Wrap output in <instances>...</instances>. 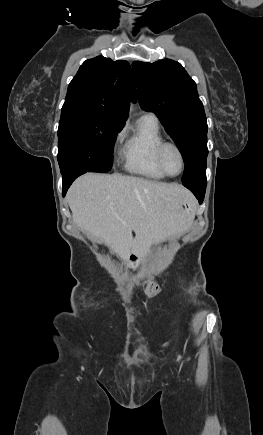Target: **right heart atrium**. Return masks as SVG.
Listing matches in <instances>:
<instances>
[{
    "instance_id": "right-heart-atrium-1",
    "label": "right heart atrium",
    "mask_w": 263,
    "mask_h": 435,
    "mask_svg": "<svg viewBox=\"0 0 263 435\" xmlns=\"http://www.w3.org/2000/svg\"><path fill=\"white\" fill-rule=\"evenodd\" d=\"M122 131H118L116 134H115V141H118V140H120L121 139V137H122Z\"/></svg>"
}]
</instances>
